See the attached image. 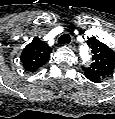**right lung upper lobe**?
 Listing matches in <instances>:
<instances>
[{
  "instance_id": "right-lung-upper-lobe-1",
  "label": "right lung upper lobe",
  "mask_w": 115,
  "mask_h": 119,
  "mask_svg": "<svg viewBox=\"0 0 115 119\" xmlns=\"http://www.w3.org/2000/svg\"><path fill=\"white\" fill-rule=\"evenodd\" d=\"M52 51L45 42H42L38 37H35L23 50L20 60L23 63L25 71L35 72L43 66L50 56Z\"/></svg>"
}]
</instances>
